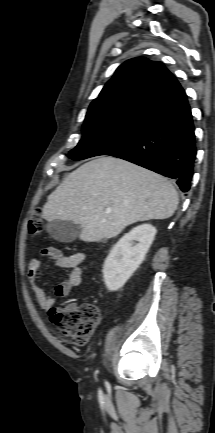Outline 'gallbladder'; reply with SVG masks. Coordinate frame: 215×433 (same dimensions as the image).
Wrapping results in <instances>:
<instances>
[{
  "mask_svg": "<svg viewBox=\"0 0 215 433\" xmlns=\"http://www.w3.org/2000/svg\"><path fill=\"white\" fill-rule=\"evenodd\" d=\"M81 226L72 221L53 220L47 224V231L56 241L70 243L78 238Z\"/></svg>",
  "mask_w": 215,
  "mask_h": 433,
  "instance_id": "1",
  "label": "gallbladder"
}]
</instances>
